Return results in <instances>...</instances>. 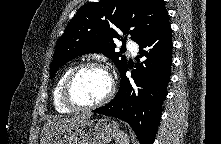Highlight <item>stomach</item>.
Returning a JSON list of instances; mask_svg holds the SVG:
<instances>
[{
	"mask_svg": "<svg viewBox=\"0 0 221 144\" xmlns=\"http://www.w3.org/2000/svg\"><path fill=\"white\" fill-rule=\"evenodd\" d=\"M119 132L118 124L109 118L85 120L53 135L45 144H106Z\"/></svg>",
	"mask_w": 221,
	"mask_h": 144,
	"instance_id": "stomach-1",
	"label": "stomach"
}]
</instances>
